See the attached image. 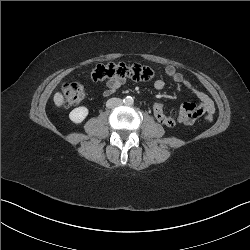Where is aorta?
<instances>
[{
    "label": "aorta",
    "mask_w": 250,
    "mask_h": 250,
    "mask_svg": "<svg viewBox=\"0 0 250 250\" xmlns=\"http://www.w3.org/2000/svg\"><path fill=\"white\" fill-rule=\"evenodd\" d=\"M124 104L127 106H131L134 103V99L131 96H127L123 100Z\"/></svg>",
    "instance_id": "762f6f07"
}]
</instances>
